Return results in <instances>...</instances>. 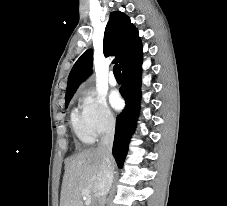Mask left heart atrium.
I'll use <instances>...</instances> for the list:
<instances>
[{"instance_id": "1", "label": "left heart atrium", "mask_w": 227, "mask_h": 206, "mask_svg": "<svg viewBox=\"0 0 227 206\" xmlns=\"http://www.w3.org/2000/svg\"><path fill=\"white\" fill-rule=\"evenodd\" d=\"M110 102H111V105L115 109H119L122 106V99H121L120 95L117 92L111 93Z\"/></svg>"}]
</instances>
